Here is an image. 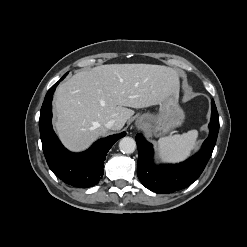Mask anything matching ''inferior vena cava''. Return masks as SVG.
Segmentation results:
<instances>
[{"instance_id": "602c4592", "label": "inferior vena cava", "mask_w": 247, "mask_h": 247, "mask_svg": "<svg viewBox=\"0 0 247 247\" xmlns=\"http://www.w3.org/2000/svg\"><path fill=\"white\" fill-rule=\"evenodd\" d=\"M105 127L107 128V129H112V130H114V129H116V127H117V122L115 121V120H109L106 124H105Z\"/></svg>"}]
</instances>
